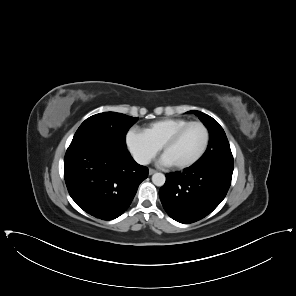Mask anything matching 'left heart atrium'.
<instances>
[{"mask_svg":"<svg viewBox=\"0 0 296 296\" xmlns=\"http://www.w3.org/2000/svg\"><path fill=\"white\" fill-rule=\"evenodd\" d=\"M160 164L165 166L173 165L165 155L160 158Z\"/></svg>","mask_w":296,"mask_h":296,"instance_id":"left-heart-atrium-1","label":"left heart atrium"}]
</instances>
